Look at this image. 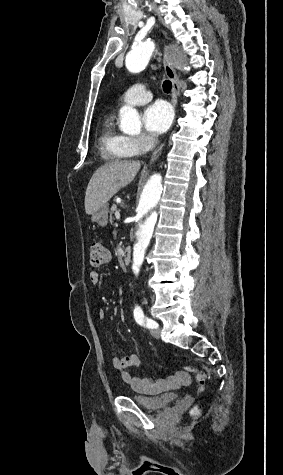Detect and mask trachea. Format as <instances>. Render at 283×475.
I'll return each mask as SVG.
<instances>
[{"mask_svg":"<svg viewBox=\"0 0 283 475\" xmlns=\"http://www.w3.org/2000/svg\"><path fill=\"white\" fill-rule=\"evenodd\" d=\"M171 88H172V83H171V81L165 80V81L163 82V90H164V92L169 93V92L171 91Z\"/></svg>","mask_w":283,"mask_h":475,"instance_id":"trachea-1","label":"trachea"}]
</instances>
